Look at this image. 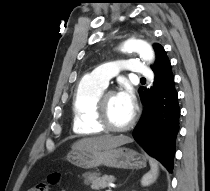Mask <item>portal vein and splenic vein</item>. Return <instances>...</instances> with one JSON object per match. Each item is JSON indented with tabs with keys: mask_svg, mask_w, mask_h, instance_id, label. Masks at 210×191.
Returning a JSON list of instances; mask_svg holds the SVG:
<instances>
[{
	"mask_svg": "<svg viewBox=\"0 0 210 191\" xmlns=\"http://www.w3.org/2000/svg\"><path fill=\"white\" fill-rule=\"evenodd\" d=\"M111 187H113V185H112V184H109V189L106 190V191H112V190H111Z\"/></svg>",
	"mask_w": 210,
	"mask_h": 191,
	"instance_id": "obj_1",
	"label": "portal vein and splenic vein"
}]
</instances>
